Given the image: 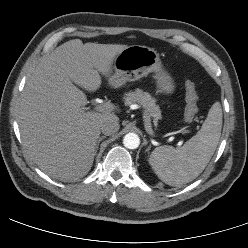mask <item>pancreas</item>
<instances>
[{
    "label": "pancreas",
    "mask_w": 248,
    "mask_h": 248,
    "mask_svg": "<svg viewBox=\"0 0 248 248\" xmlns=\"http://www.w3.org/2000/svg\"><path fill=\"white\" fill-rule=\"evenodd\" d=\"M124 103L125 105H131L133 103L141 104L145 111V122L148 124H150V117H153V122L155 125L161 118V110L156 104V99L141 89H136L133 92H128L125 94Z\"/></svg>",
    "instance_id": "obj_1"
}]
</instances>
